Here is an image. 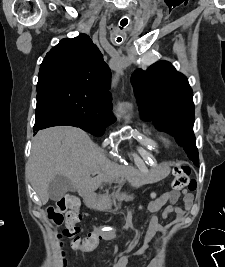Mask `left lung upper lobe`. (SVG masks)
Returning <instances> with one entry per match:
<instances>
[{
  "label": "left lung upper lobe",
  "mask_w": 225,
  "mask_h": 267,
  "mask_svg": "<svg viewBox=\"0 0 225 267\" xmlns=\"http://www.w3.org/2000/svg\"><path fill=\"white\" fill-rule=\"evenodd\" d=\"M142 117L175 137L188 157L199 165L193 133V92L187 78L167 61H158L146 71L136 70L131 79Z\"/></svg>",
  "instance_id": "left-lung-upper-lobe-1"
}]
</instances>
